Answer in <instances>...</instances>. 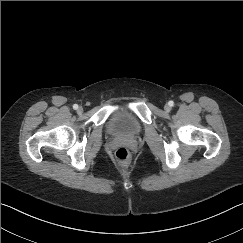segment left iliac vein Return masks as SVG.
Segmentation results:
<instances>
[{
    "label": "left iliac vein",
    "instance_id": "left-iliac-vein-1",
    "mask_svg": "<svg viewBox=\"0 0 243 243\" xmlns=\"http://www.w3.org/2000/svg\"><path fill=\"white\" fill-rule=\"evenodd\" d=\"M164 109H165L166 112H169L171 108H170L169 105L166 104V105L164 106Z\"/></svg>",
    "mask_w": 243,
    "mask_h": 243
}]
</instances>
